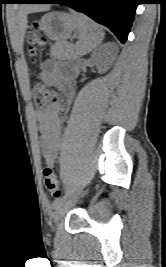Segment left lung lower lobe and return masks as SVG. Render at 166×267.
<instances>
[{
	"label": "left lung lower lobe",
	"instance_id": "1",
	"mask_svg": "<svg viewBox=\"0 0 166 267\" xmlns=\"http://www.w3.org/2000/svg\"><path fill=\"white\" fill-rule=\"evenodd\" d=\"M26 3H60L69 6L108 27L124 43L138 0H31Z\"/></svg>",
	"mask_w": 166,
	"mask_h": 267
}]
</instances>
